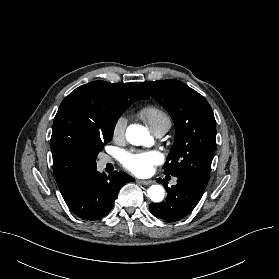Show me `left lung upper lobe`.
Segmentation results:
<instances>
[{"label":"left lung upper lobe","instance_id":"left-lung-upper-lobe-1","mask_svg":"<svg viewBox=\"0 0 279 279\" xmlns=\"http://www.w3.org/2000/svg\"><path fill=\"white\" fill-rule=\"evenodd\" d=\"M141 86L163 105L175 124V140L164 173L207 186L216 149L211 106L202 95L175 79L142 82Z\"/></svg>","mask_w":279,"mask_h":279}]
</instances>
